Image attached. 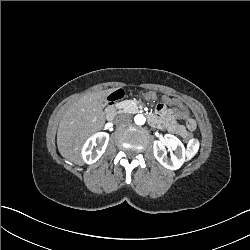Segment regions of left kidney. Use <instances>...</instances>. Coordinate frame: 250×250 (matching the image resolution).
<instances>
[{
    "label": "left kidney",
    "mask_w": 250,
    "mask_h": 250,
    "mask_svg": "<svg viewBox=\"0 0 250 250\" xmlns=\"http://www.w3.org/2000/svg\"><path fill=\"white\" fill-rule=\"evenodd\" d=\"M163 143L175 150L176 155L167 158L165 148L159 142H154V156L165 168L177 170L181 168L186 159L184 144L173 134H165Z\"/></svg>",
    "instance_id": "5707ae66"
}]
</instances>
